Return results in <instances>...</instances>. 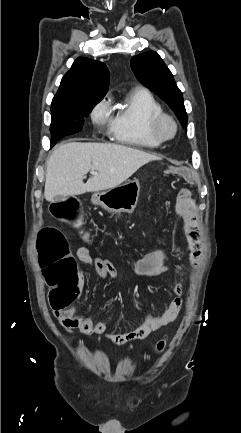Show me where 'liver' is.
I'll return each mask as SVG.
<instances>
[{
	"mask_svg": "<svg viewBox=\"0 0 241 433\" xmlns=\"http://www.w3.org/2000/svg\"><path fill=\"white\" fill-rule=\"evenodd\" d=\"M160 158L130 147L103 143H66L55 148L46 167L44 196H73L119 186L140 167ZM90 170L98 172L83 183Z\"/></svg>",
	"mask_w": 241,
	"mask_h": 433,
	"instance_id": "1",
	"label": "liver"
}]
</instances>
